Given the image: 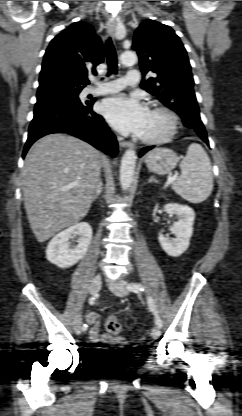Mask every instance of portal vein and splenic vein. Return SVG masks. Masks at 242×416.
Returning <instances> with one entry per match:
<instances>
[{
  "instance_id": "portal-vein-and-splenic-vein-1",
  "label": "portal vein and splenic vein",
  "mask_w": 242,
  "mask_h": 416,
  "mask_svg": "<svg viewBox=\"0 0 242 416\" xmlns=\"http://www.w3.org/2000/svg\"><path fill=\"white\" fill-rule=\"evenodd\" d=\"M177 178V175H174V176H172V177H169L168 178V181H167V183H166V186H168L173 180H175Z\"/></svg>"
}]
</instances>
